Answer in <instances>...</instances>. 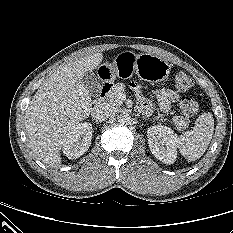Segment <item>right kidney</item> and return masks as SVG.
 Here are the masks:
<instances>
[{"label":"right kidney","mask_w":233,"mask_h":233,"mask_svg":"<svg viewBox=\"0 0 233 233\" xmlns=\"http://www.w3.org/2000/svg\"><path fill=\"white\" fill-rule=\"evenodd\" d=\"M91 139L92 125L86 122L78 123L64 135L62 151L69 159H76L89 149Z\"/></svg>","instance_id":"1"}]
</instances>
